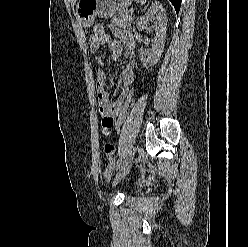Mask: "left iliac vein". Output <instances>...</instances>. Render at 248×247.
Wrapping results in <instances>:
<instances>
[{
	"mask_svg": "<svg viewBox=\"0 0 248 247\" xmlns=\"http://www.w3.org/2000/svg\"><path fill=\"white\" fill-rule=\"evenodd\" d=\"M138 150V147L135 146L130 152L129 154L127 155V157L124 159L123 161V164L120 168V170L118 171V173L116 174V177H115V180H114V183L113 185H116L128 172L132 162H133V159H134V156H135V153L137 152Z\"/></svg>",
	"mask_w": 248,
	"mask_h": 247,
	"instance_id": "left-iliac-vein-1",
	"label": "left iliac vein"
}]
</instances>
